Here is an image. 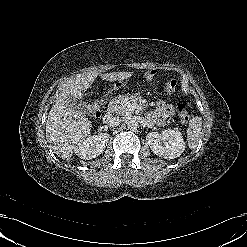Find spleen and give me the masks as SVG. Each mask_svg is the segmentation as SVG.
Instances as JSON below:
<instances>
[{"label": "spleen", "instance_id": "3e777b00", "mask_svg": "<svg viewBox=\"0 0 247 247\" xmlns=\"http://www.w3.org/2000/svg\"><path fill=\"white\" fill-rule=\"evenodd\" d=\"M202 129V118L201 117H193L189 121V127L187 129V141L188 146L191 149H195L197 147V143L200 138Z\"/></svg>", "mask_w": 247, "mask_h": 247}]
</instances>
